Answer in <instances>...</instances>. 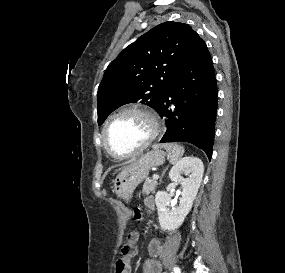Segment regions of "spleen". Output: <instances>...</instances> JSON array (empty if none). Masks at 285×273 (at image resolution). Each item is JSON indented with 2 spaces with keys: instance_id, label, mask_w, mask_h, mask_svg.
<instances>
[{
  "instance_id": "1",
  "label": "spleen",
  "mask_w": 285,
  "mask_h": 273,
  "mask_svg": "<svg viewBox=\"0 0 285 273\" xmlns=\"http://www.w3.org/2000/svg\"><path fill=\"white\" fill-rule=\"evenodd\" d=\"M155 148H164L169 154L171 164H176L184 154V148L176 143L157 145Z\"/></svg>"
}]
</instances>
